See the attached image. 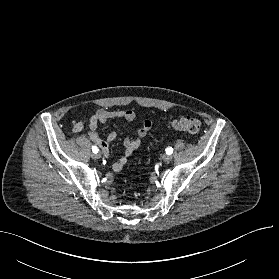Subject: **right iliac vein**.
<instances>
[{"instance_id": "1", "label": "right iliac vein", "mask_w": 279, "mask_h": 279, "mask_svg": "<svg viewBox=\"0 0 279 279\" xmlns=\"http://www.w3.org/2000/svg\"><path fill=\"white\" fill-rule=\"evenodd\" d=\"M92 157H93L94 159H100V158H101V154H100V153H94V154L92 155Z\"/></svg>"}]
</instances>
